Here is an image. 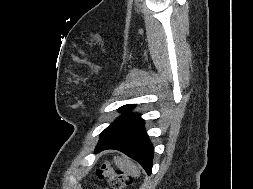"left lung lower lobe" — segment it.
<instances>
[{
  "label": "left lung lower lobe",
  "instance_id": "left-lung-lower-lobe-1",
  "mask_svg": "<svg viewBox=\"0 0 253 189\" xmlns=\"http://www.w3.org/2000/svg\"><path fill=\"white\" fill-rule=\"evenodd\" d=\"M143 125L144 120L137 116L114 130L100 135L95 152L99 153L106 149L119 150L139 162L150 175L152 171L153 146Z\"/></svg>",
  "mask_w": 253,
  "mask_h": 189
}]
</instances>
